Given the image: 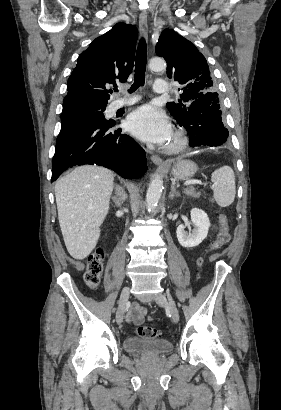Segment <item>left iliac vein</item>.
Masks as SVG:
<instances>
[{
	"instance_id": "left-iliac-vein-1",
	"label": "left iliac vein",
	"mask_w": 281,
	"mask_h": 410,
	"mask_svg": "<svg viewBox=\"0 0 281 410\" xmlns=\"http://www.w3.org/2000/svg\"><path fill=\"white\" fill-rule=\"evenodd\" d=\"M156 303L161 307H166L170 310L171 318L174 323H178L179 321V312L176 308L175 304L172 302L171 297L169 296V300L164 294H160L155 299Z\"/></svg>"
}]
</instances>
